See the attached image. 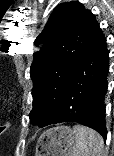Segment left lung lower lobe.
Here are the masks:
<instances>
[{"label": "left lung lower lobe", "instance_id": "0a47b994", "mask_svg": "<svg viewBox=\"0 0 114 156\" xmlns=\"http://www.w3.org/2000/svg\"><path fill=\"white\" fill-rule=\"evenodd\" d=\"M108 53L106 39L96 23L68 81L62 104L46 125L73 121L93 128L106 140L103 101L107 91Z\"/></svg>", "mask_w": 114, "mask_h": 156}]
</instances>
